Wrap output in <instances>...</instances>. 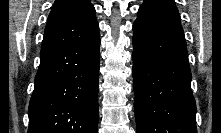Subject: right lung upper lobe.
Listing matches in <instances>:
<instances>
[{
	"instance_id": "1",
	"label": "right lung upper lobe",
	"mask_w": 221,
	"mask_h": 133,
	"mask_svg": "<svg viewBox=\"0 0 221 133\" xmlns=\"http://www.w3.org/2000/svg\"><path fill=\"white\" fill-rule=\"evenodd\" d=\"M98 30L90 0H56L48 17L41 48L80 45Z\"/></svg>"
}]
</instances>
